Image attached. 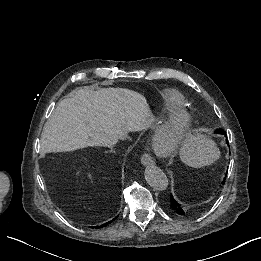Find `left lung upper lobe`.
<instances>
[{"instance_id":"left-lung-upper-lobe-1","label":"left lung upper lobe","mask_w":261,"mask_h":261,"mask_svg":"<svg viewBox=\"0 0 261 261\" xmlns=\"http://www.w3.org/2000/svg\"><path fill=\"white\" fill-rule=\"evenodd\" d=\"M215 132L218 133V134H225V133L223 132V130H216Z\"/></svg>"}]
</instances>
